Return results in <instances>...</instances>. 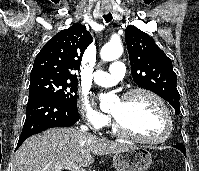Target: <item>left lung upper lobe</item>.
<instances>
[{
    "label": "left lung upper lobe",
    "mask_w": 199,
    "mask_h": 171,
    "mask_svg": "<svg viewBox=\"0 0 199 171\" xmlns=\"http://www.w3.org/2000/svg\"><path fill=\"white\" fill-rule=\"evenodd\" d=\"M131 74L136 84L168 101L180 113L177 75L172 62L148 34L129 25L125 30Z\"/></svg>",
    "instance_id": "1"
}]
</instances>
